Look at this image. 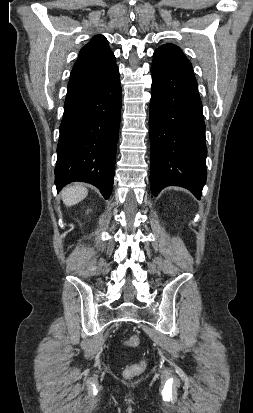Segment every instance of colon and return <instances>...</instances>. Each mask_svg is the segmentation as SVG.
<instances>
[{
    "label": "colon",
    "mask_w": 253,
    "mask_h": 413,
    "mask_svg": "<svg viewBox=\"0 0 253 413\" xmlns=\"http://www.w3.org/2000/svg\"><path fill=\"white\" fill-rule=\"evenodd\" d=\"M140 344V338L136 334H130L122 342V346L127 348H135ZM144 369V362L130 365L124 371V375L127 378H132L139 375Z\"/></svg>",
    "instance_id": "1"
}]
</instances>
